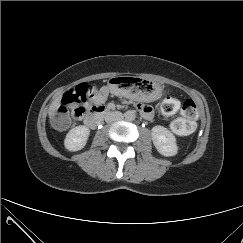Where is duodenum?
<instances>
[{
    "label": "duodenum",
    "mask_w": 243,
    "mask_h": 243,
    "mask_svg": "<svg viewBox=\"0 0 243 243\" xmlns=\"http://www.w3.org/2000/svg\"><path fill=\"white\" fill-rule=\"evenodd\" d=\"M111 110L105 106H95L85 117V123L90 128H96Z\"/></svg>",
    "instance_id": "duodenum-1"
}]
</instances>
